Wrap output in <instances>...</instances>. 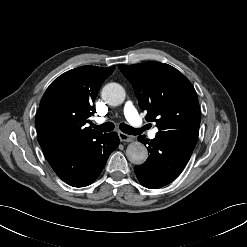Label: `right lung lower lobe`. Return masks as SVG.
Returning a JSON list of instances; mask_svg holds the SVG:
<instances>
[{
  "label": "right lung lower lobe",
  "instance_id": "right-lung-lower-lobe-1",
  "mask_svg": "<svg viewBox=\"0 0 247 247\" xmlns=\"http://www.w3.org/2000/svg\"><path fill=\"white\" fill-rule=\"evenodd\" d=\"M118 145L116 132L102 134L88 141L67 144L47 161L65 183L84 187L100 175Z\"/></svg>",
  "mask_w": 247,
  "mask_h": 247
}]
</instances>
